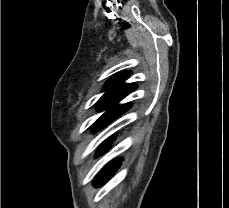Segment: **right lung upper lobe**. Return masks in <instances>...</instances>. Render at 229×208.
<instances>
[{"label":"right lung upper lobe","mask_w":229,"mask_h":208,"mask_svg":"<svg viewBox=\"0 0 229 208\" xmlns=\"http://www.w3.org/2000/svg\"><path fill=\"white\" fill-rule=\"evenodd\" d=\"M131 72H122L114 75L109 79L105 86L104 90L107 91L99 101H120L129 93L134 91L137 88V85L131 83L126 84L124 81L129 77Z\"/></svg>","instance_id":"cb5924a9"}]
</instances>
